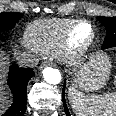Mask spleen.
Segmentation results:
<instances>
[{
	"label": "spleen",
	"mask_w": 116,
	"mask_h": 116,
	"mask_svg": "<svg viewBox=\"0 0 116 116\" xmlns=\"http://www.w3.org/2000/svg\"><path fill=\"white\" fill-rule=\"evenodd\" d=\"M68 98L77 116H116V92L86 96L70 87Z\"/></svg>",
	"instance_id": "spleen-1"
}]
</instances>
